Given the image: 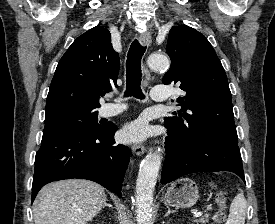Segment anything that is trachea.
I'll return each instance as SVG.
<instances>
[{
  "instance_id": "obj_1",
  "label": "trachea",
  "mask_w": 275,
  "mask_h": 224,
  "mask_svg": "<svg viewBox=\"0 0 275 224\" xmlns=\"http://www.w3.org/2000/svg\"><path fill=\"white\" fill-rule=\"evenodd\" d=\"M146 50L137 39H135L128 51L126 61V92L125 96H133L135 98H144L141 90V59Z\"/></svg>"
}]
</instances>
